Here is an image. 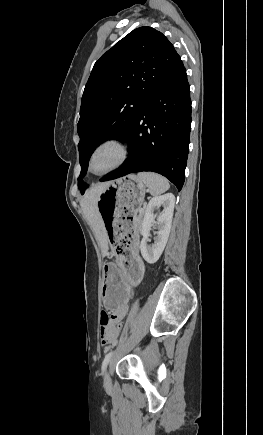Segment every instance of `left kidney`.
I'll use <instances>...</instances> for the list:
<instances>
[{
    "label": "left kidney",
    "instance_id": "left-kidney-1",
    "mask_svg": "<svg viewBox=\"0 0 263 435\" xmlns=\"http://www.w3.org/2000/svg\"><path fill=\"white\" fill-rule=\"evenodd\" d=\"M175 205V196L167 193L153 197L145 209V215L141 226L143 236L140 244L141 254L149 264H154L160 258L168 241ZM163 207V211L157 218L158 233L152 246L147 245L151 226L155 223L156 215L154 212Z\"/></svg>",
    "mask_w": 263,
    "mask_h": 435
}]
</instances>
